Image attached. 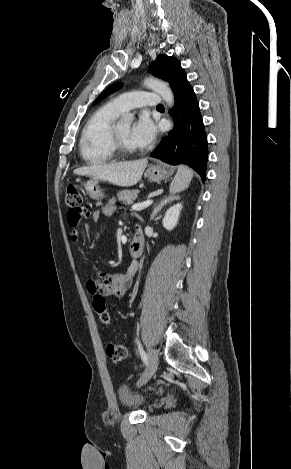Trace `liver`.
<instances>
[{"label":"liver","instance_id":"liver-1","mask_svg":"<svg viewBox=\"0 0 291 469\" xmlns=\"http://www.w3.org/2000/svg\"><path fill=\"white\" fill-rule=\"evenodd\" d=\"M147 158L112 164H94L74 170L77 175L90 176L114 185L129 187L137 184L147 166Z\"/></svg>","mask_w":291,"mask_h":469}]
</instances>
